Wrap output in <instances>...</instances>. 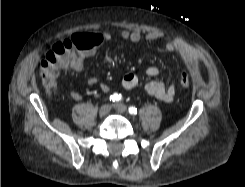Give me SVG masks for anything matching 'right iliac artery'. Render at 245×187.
I'll use <instances>...</instances> for the list:
<instances>
[{"mask_svg":"<svg viewBox=\"0 0 245 187\" xmlns=\"http://www.w3.org/2000/svg\"><path fill=\"white\" fill-rule=\"evenodd\" d=\"M122 100V95L118 93H114L113 95L110 96V101L112 102H119Z\"/></svg>","mask_w":245,"mask_h":187,"instance_id":"obj_1","label":"right iliac artery"}]
</instances>
